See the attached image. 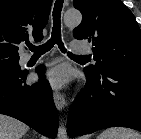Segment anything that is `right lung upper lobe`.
I'll return each mask as SVG.
<instances>
[{
    "label": "right lung upper lobe",
    "instance_id": "cb5924a9",
    "mask_svg": "<svg viewBox=\"0 0 141 139\" xmlns=\"http://www.w3.org/2000/svg\"><path fill=\"white\" fill-rule=\"evenodd\" d=\"M52 0H0V56L18 57V45L43 38Z\"/></svg>",
    "mask_w": 141,
    "mask_h": 139
}]
</instances>
